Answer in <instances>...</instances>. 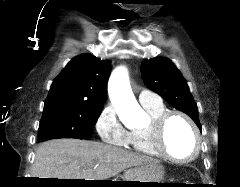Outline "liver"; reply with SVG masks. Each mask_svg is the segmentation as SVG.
<instances>
[{"label":"liver","mask_w":240,"mask_h":187,"mask_svg":"<svg viewBox=\"0 0 240 187\" xmlns=\"http://www.w3.org/2000/svg\"><path fill=\"white\" fill-rule=\"evenodd\" d=\"M158 162L94 141L62 138L41 143L32 166V178L107 180L127 168Z\"/></svg>","instance_id":"1"}]
</instances>
